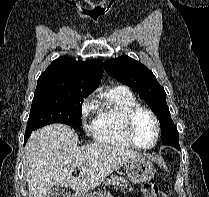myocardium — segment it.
<instances>
[{
  "label": "myocardium",
  "instance_id": "obj_1",
  "mask_svg": "<svg viewBox=\"0 0 209 197\" xmlns=\"http://www.w3.org/2000/svg\"><path fill=\"white\" fill-rule=\"evenodd\" d=\"M144 111L148 113L151 118L153 119L154 125H155V139L154 142L150 146H142L138 144L136 141L134 134H133V126H134V119L137 113ZM124 127H125V133L127 136V139L129 142L132 144V146L138 148V149H143V150H150L153 149L159 142L160 138V122L158 119V116L156 113L149 107L141 105V104H136L132 106L126 113L125 115V122H124Z\"/></svg>",
  "mask_w": 209,
  "mask_h": 197
}]
</instances>
